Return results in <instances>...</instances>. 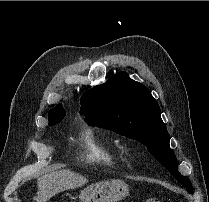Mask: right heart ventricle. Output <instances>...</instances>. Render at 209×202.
<instances>
[{
  "instance_id": "1",
  "label": "right heart ventricle",
  "mask_w": 209,
  "mask_h": 202,
  "mask_svg": "<svg viewBox=\"0 0 209 202\" xmlns=\"http://www.w3.org/2000/svg\"><path fill=\"white\" fill-rule=\"evenodd\" d=\"M82 145L81 157L87 162H99L114 165L120 158L118 145L105 134L85 127L80 133Z\"/></svg>"
}]
</instances>
